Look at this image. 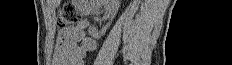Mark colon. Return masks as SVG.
Returning <instances> with one entry per match:
<instances>
[{
	"instance_id": "colon-1",
	"label": "colon",
	"mask_w": 232,
	"mask_h": 65,
	"mask_svg": "<svg viewBox=\"0 0 232 65\" xmlns=\"http://www.w3.org/2000/svg\"><path fill=\"white\" fill-rule=\"evenodd\" d=\"M81 20V14L72 4H66L60 8L57 16V26L61 29L70 28L78 24Z\"/></svg>"
}]
</instances>
